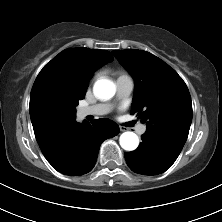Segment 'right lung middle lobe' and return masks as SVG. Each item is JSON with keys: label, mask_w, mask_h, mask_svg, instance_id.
I'll return each instance as SVG.
<instances>
[{"label": "right lung middle lobe", "mask_w": 222, "mask_h": 222, "mask_svg": "<svg viewBox=\"0 0 222 222\" xmlns=\"http://www.w3.org/2000/svg\"><path fill=\"white\" fill-rule=\"evenodd\" d=\"M78 104V101H75L72 108H73V112L75 113V106Z\"/></svg>", "instance_id": "dd1d6c3e"}]
</instances>
